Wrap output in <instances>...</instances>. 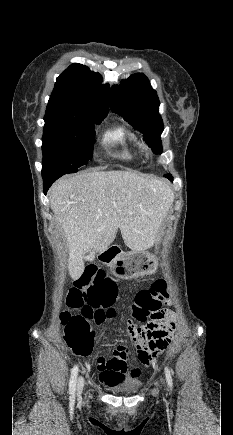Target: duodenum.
I'll return each instance as SVG.
<instances>
[{
  "label": "duodenum",
  "mask_w": 233,
  "mask_h": 435,
  "mask_svg": "<svg viewBox=\"0 0 233 435\" xmlns=\"http://www.w3.org/2000/svg\"><path fill=\"white\" fill-rule=\"evenodd\" d=\"M121 250L117 246L105 245L95 255V258L108 265H113L118 259Z\"/></svg>",
  "instance_id": "duodenum-1"
}]
</instances>
